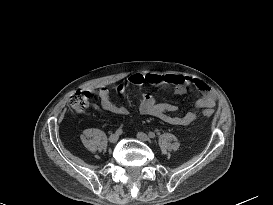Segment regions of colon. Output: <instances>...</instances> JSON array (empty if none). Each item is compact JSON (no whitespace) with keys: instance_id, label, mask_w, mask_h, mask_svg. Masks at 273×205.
<instances>
[{"instance_id":"colon-1","label":"colon","mask_w":273,"mask_h":205,"mask_svg":"<svg viewBox=\"0 0 273 205\" xmlns=\"http://www.w3.org/2000/svg\"><path fill=\"white\" fill-rule=\"evenodd\" d=\"M91 98V91H75L68 97V104L72 110L76 112H84L90 106ZM203 114L206 117H211L213 112L210 110H204Z\"/></svg>"}]
</instances>
